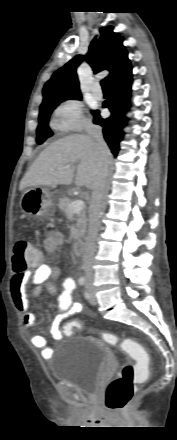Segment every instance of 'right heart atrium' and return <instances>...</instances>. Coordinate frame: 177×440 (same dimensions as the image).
Listing matches in <instances>:
<instances>
[{
    "instance_id": "right-heart-atrium-1",
    "label": "right heart atrium",
    "mask_w": 177,
    "mask_h": 440,
    "mask_svg": "<svg viewBox=\"0 0 177 440\" xmlns=\"http://www.w3.org/2000/svg\"><path fill=\"white\" fill-rule=\"evenodd\" d=\"M52 122L61 132H80L91 127L83 115L81 103L75 99L61 102L53 111Z\"/></svg>"
}]
</instances>
